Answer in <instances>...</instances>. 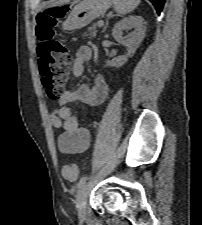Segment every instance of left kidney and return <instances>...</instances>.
Returning a JSON list of instances; mask_svg holds the SVG:
<instances>
[{"instance_id": "left-kidney-1", "label": "left kidney", "mask_w": 202, "mask_h": 225, "mask_svg": "<svg viewBox=\"0 0 202 225\" xmlns=\"http://www.w3.org/2000/svg\"><path fill=\"white\" fill-rule=\"evenodd\" d=\"M130 28H133L134 31L127 38L123 37V30ZM145 32L146 22L141 16H129L116 23L112 35L118 43L127 47V53L115 57L111 61H106V66L117 68L123 66L128 61V58L132 57L138 49L145 37Z\"/></svg>"}]
</instances>
